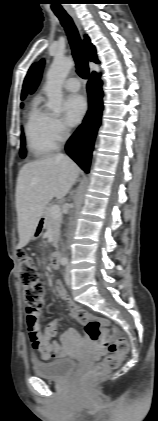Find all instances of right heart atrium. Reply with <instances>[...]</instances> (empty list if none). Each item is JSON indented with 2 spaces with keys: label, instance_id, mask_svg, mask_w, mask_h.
<instances>
[{
  "label": "right heart atrium",
  "instance_id": "right-heart-atrium-1",
  "mask_svg": "<svg viewBox=\"0 0 158 421\" xmlns=\"http://www.w3.org/2000/svg\"><path fill=\"white\" fill-rule=\"evenodd\" d=\"M52 131L57 140H61L67 133V128L64 123L57 117H52Z\"/></svg>",
  "mask_w": 158,
  "mask_h": 421
}]
</instances>
